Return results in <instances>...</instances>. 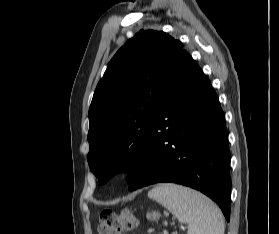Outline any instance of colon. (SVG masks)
Wrapping results in <instances>:
<instances>
[{
	"label": "colon",
	"mask_w": 279,
	"mask_h": 234,
	"mask_svg": "<svg viewBox=\"0 0 279 234\" xmlns=\"http://www.w3.org/2000/svg\"><path fill=\"white\" fill-rule=\"evenodd\" d=\"M135 226L136 219L131 210L124 209L119 214L105 210L100 215L99 234H122Z\"/></svg>",
	"instance_id": "1"
}]
</instances>
